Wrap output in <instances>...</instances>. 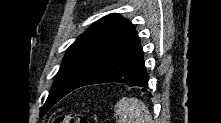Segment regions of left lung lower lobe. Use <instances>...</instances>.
Instances as JSON below:
<instances>
[{"label": "left lung lower lobe", "mask_w": 221, "mask_h": 123, "mask_svg": "<svg viewBox=\"0 0 221 123\" xmlns=\"http://www.w3.org/2000/svg\"><path fill=\"white\" fill-rule=\"evenodd\" d=\"M108 82L125 83L128 86L148 87V76L143 61L141 44L133 46L101 67L79 87Z\"/></svg>", "instance_id": "obj_1"}]
</instances>
